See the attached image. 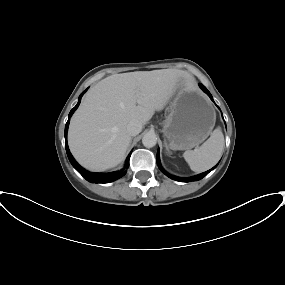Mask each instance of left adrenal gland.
<instances>
[{
	"label": "left adrenal gland",
	"instance_id": "obj_1",
	"mask_svg": "<svg viewBox=\"0 0 285 285\" xmlns=\"http://www.w3.org/2000/svg\"><path fill=\"white\" fill-rule=\"evenodd\" d=\"M165 147H166V150L168 151V153H170V151H169V148H168V146H167L166 141H165Z\"/></svg>",
	"mask_w": 285,
	"mask_h": 285
}]
</instances>
